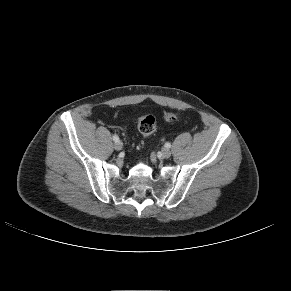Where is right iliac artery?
Segmentation results:
<instances>
[{
    "mask_svg": "<svg viewBox=\"0 0 291 291\" xmlns=\"http://www.w3.org/2000/svg\"><path fill=\"white\" fill-rule=\"evenodd\" d=\"M113 140H114L115 142H117V141H119V137H118L117 135H113Z\"/></svg>",
    "mask_w": 291,
    "mask_h": 291,
    "instance_id": "obj_1",
    "label": "right iliac artery"
}]
</instances>
